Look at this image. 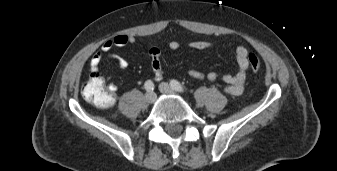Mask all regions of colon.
I'll return each instance as SVG.
<instances>
[{
  "instance_id": "5ec220e1",
  "label": "colon",
  "mask_w": 337,
  "mask_h": 171,
  "mask_svg": "<svg viewBox=\"0 0 337 171\" xmlns=\"http://www.w3.org/2000/svg\"><path fill=\"white\" fill-rule=\"evenodd\" d=\"M249 67L253 72L260 69V60L254 54H248ZM84 99L98 108H108L113 105L115 97L107 87L100 73L92 75L90 81L82 90Z\"/></svg>"
}]
</instances>
